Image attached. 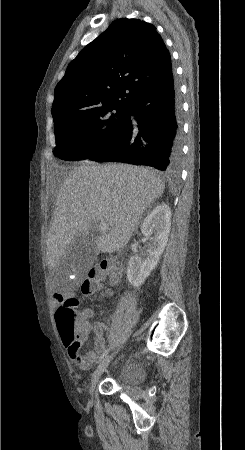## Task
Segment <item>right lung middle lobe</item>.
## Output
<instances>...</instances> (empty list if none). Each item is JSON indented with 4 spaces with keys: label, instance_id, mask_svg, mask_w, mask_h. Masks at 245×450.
<instances>
[{
    "label": "right lung middle lobe",
    "instance_id": "dd1d6c3e",
    "mask_svg": "<svg viewBox=\"0 0 245 450\" xmlns=\"http://www.w3.org/2000/svg\"><path fill=\"white\" fill-rule=\"evenodd\" d=\"M128 105L52 111L57 141L54 155L63 160H82L103 151L121 134L128 119Z\"/></svg>",
    "mask_w": 245,
    "mask_h": 450
}]
</instances>
